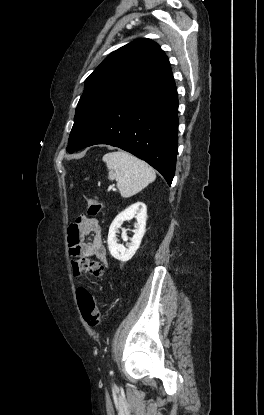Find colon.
<instances>
[{
	"label": "colon",
	"instance_id": "colon-1",
	"mask_svg": "<svg viewBox=\"0 0 264 415\" xmlns=\"http://www.w3.org/2000/svg\"><path fill=\"white\" fill-rule=\"evenodd\" d=\"M102 209L99 199L95 196H90L87 199V214L90 217L97 216ZM75 270L91 274L93 276H100L103 272V267L98 262L89 258H81L74 262ZM76 302L79 312L83 319L90 326H97L101 322V315L98 308L96 298L84 287L78 288L76 292Z\"/></svg>",
	"mask_w": 264,
	"mask_h": 415
}]
</instances>
